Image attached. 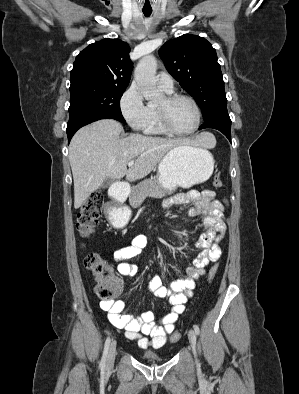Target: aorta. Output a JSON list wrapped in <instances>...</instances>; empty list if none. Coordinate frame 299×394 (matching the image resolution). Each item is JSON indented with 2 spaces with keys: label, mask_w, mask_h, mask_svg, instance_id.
I'll return each instance as SVG.
<instances>
[{
  "label": "aorta",
  "mask_w": 299,
  "mask_h": 394,
  "mask_svg": "<svg viewBox=\"0 0 299 394\" xmlns=\"http://www.w3.org/2000/svg\"><path fill=\"white\" fill-rule=\"evenodd\" d=\"M157 61L153 55L143 57L135 68V81L146 100L153 101L160 97L156 87Z\"/></svg>",
  "instance_id": "aorta-1"
}]
</instances>
